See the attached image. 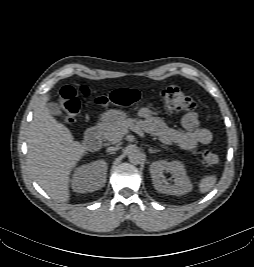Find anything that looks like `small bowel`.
<instances>
[{
	"mask_svg": "<svg viewBox=\"0 0 254 267\" xmlns=\"http://www.w3.org/2000/svg\"><path fill=\"white\" fill-rule=\"evenodd\" d=\"M138 115L143 119L146 128L165 144H177L187 151L194 150L198 145H207L212 141V133L199 126L196 113H188L182 118L184 131L169 128L164 122L152 115L148 108H141Z\"/></svg>",
	"mask_w": 254,
	"mask_h": 267,
	"instance_id": "c3829d8e",
	"label": "small bowel"
}]
</instances>
